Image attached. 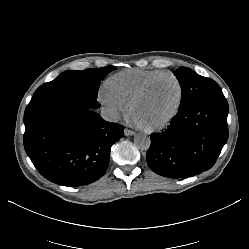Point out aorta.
Here are the masks:
<instances>
[{
    "label": "aorta",
    "instance_id": "762f6f07",
    "mask_svg": "<svg viewBox=\"0 0 249 249\" xmlns=\"http://www.w3.org/2000/svg\"><path fill=\"white\" fill-rule=\"evenodd\" d=\"M135 146L140 150H148L151 141L150 138L145 134H137L134 138Z\"/></svg>",
    "mask_w": 249,
    "mask_h": 249
}]
</instances>
